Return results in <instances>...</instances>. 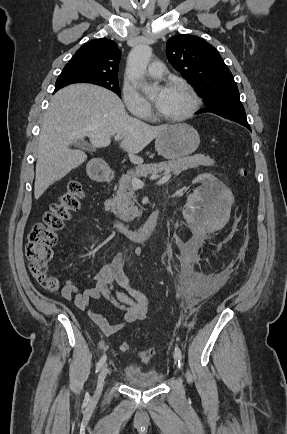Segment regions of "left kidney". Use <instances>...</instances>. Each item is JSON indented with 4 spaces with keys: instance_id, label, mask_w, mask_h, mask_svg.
<instances>
[{
    "instance_id": "left-kidney-1",
    "label": "left kidney",
    "mask_w": 287,
    "mask_h": 434,
    "mask_svg": "<svg viewBox=\"0 0 287 434\" xmlns=\"http://www.w3.org/2000/svg\"><path fill=\"white\" fill-rule=\"evenodd\" d=\"M196 181L202 186L189 195L183 210L184 218L188 223L195 224L204 219L211 220V216L215 215L220 218L219 224H223V218L229 215L234 201L232 192L211 174L199 175Z\"/></svg>"
}]
</instances>
